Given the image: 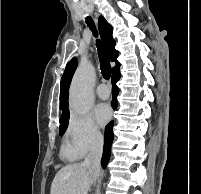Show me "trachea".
<instances>
[{
  "mask_svg": "<svg viewBox=\"0 0 201 194\" xmlns=\"http://www.w3.org/2000/svg\"><path fill=\"white\" fill-rule=\"evenodd\" d=\"M86 23H87L88 27L91 29V31L93 32V35L95 37H97L98 33H97L93 20L90 17H87ZM96 42H97L98 55H99V60H100V70H101L103 77L106 80H108L111 76L110 62H109V59L107 57V54H106L103 46L101 45L100 40L97 39Z\"/></svg>",
  "mask_w": 201,
  "mask_h": 194,
  "instance_id": "trachea-1",
  "label": "trachea"
}]
</instances>
